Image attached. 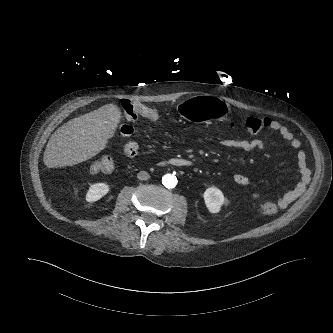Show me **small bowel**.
Masks as SVG:
<instances>
[{
  "label": "small bowel",
  "instance_id": "obj_1",
  "mask_svg": "<svg viewBox=\"0 0 333 333\" xmlns=\"http://www.w3.org/2000/svg\"><path fill=\"white\" fill-rule=\"evenodd\" d=\"M135 107L143 106L142 104L136 103ZM269 129L272 131H276L280 134V136L288 142V144L296 150V160L300 170V180L297 185L282 194L277 202L280 208L288 207L303 191L305 183L308 178V167L306 161V154L304 151L300 150L301 142L300 140L293 134V132L280 121L270 120ZM221 146L238 150L244 153H251L255 151H265L268 149V146L262 139H224L220 142ZM138 151V145L135 142H129L124 146V153L128 156L136 155ZM234 182L238 185L245 186L249 183V178L244 174H236L233 177ZM253 198H259V193H253Z\"/></svg>",
  "mask_w": 333,
  "mask_h": 333
}]
</instances>
